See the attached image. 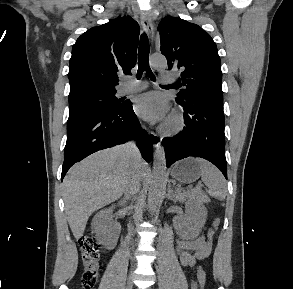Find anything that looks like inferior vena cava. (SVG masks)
I'll list each match as a JSON object with an SVG mask.
<instances>
[{"instance_id": "inferior-vena-cava-1", "label": "inferior vena cava", "mask_w": 293, "mask_h": 289, "mask_svg": "<svg viewBox=\"0 0 293 289\" xmlns=\"http://www.w3.org/2000/svg\"><path fill=\"white\" fill-rule=\"evenodd\" d=\"M124 148L134 160V168L129 173L124 189V202H126L140 191L141 176L138 172V167L141 163V155L138 148L132 142L125 144Z\"/></svg>"}]
</instances>
